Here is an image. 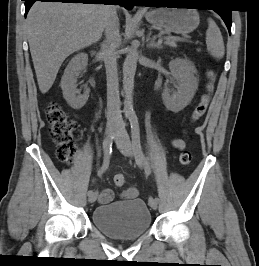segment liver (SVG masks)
Wrapping results in <instances>:
<instances>
[{
	"label": "liver",
	"mask_w": 259,
	"mask_h": 266,
	"mask_svg": "<svg viewBox=\"0 0 259 266\" xmlns=\"http://www.w3.org/2000/svg\"><path fill=\"white\" fill-rule=\"evenodd\" d=\"M111 6L36 2L26 20L27 38L41 93L52 87L63 61L96 43Z\"/></svg>",
	"instance_id": "6515ba94"
}]
</instances>
